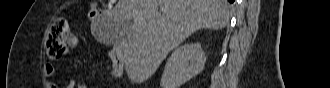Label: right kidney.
I'll list each match as a JSON object with an SVG mask.
<instances>
[{
	"instance_id": "obj_1",
	"label": "right kidney",
	"mask_w": 330,
	"mask_h": 88,
	"mask_svg": "<svg viewBox=\"0 0 330 88\" xmlns=\"http://www.w3.org/2000/svg\"><path fill=\"white\" fill-rule=\"evenodd\" d=\"M206 56L200 43L184 44L168 58L161 78L162 88H179L198 74L205 65Z\"/></svg>"
}]
</instances>
